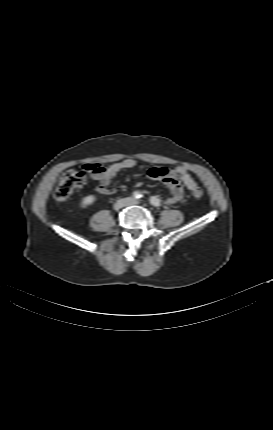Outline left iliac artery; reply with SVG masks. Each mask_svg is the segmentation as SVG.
I'll return each mask as SVG.
<instances>
[{"mask_svg":"<svg viewBox=\"0 0 273 430\" xmlns=\"http://www.w3.org/2000/svg\"><path fill=\"white\" fill-rule=\"evenodd\" d=\"M150 203L155 206V207H160L161 206V201L159 198L157 197H151L150 198Z\"/></svg>","mask_w":273,"mask_h":430,"instance_id":"obj_1","label":"left iliac artery"}]
</instances>
